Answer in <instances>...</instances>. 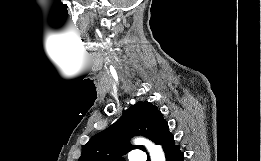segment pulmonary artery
<instances>
[{
  "label": "pulmonary artery",
  "instance_id": "obj_1",
  "mask_svg": "<svg viewBox=\"0 0 261 161\" xmlns=\"http://www.w3.org/2000/svg\"><path fill=\"white\" fill-rule=\"evenodd\" d=\"M135 161H145V157L143 155H139L135 158Z\"/></svg>",
  "mask_w": 261,
  "mask_h": 161
}]
</instances>
